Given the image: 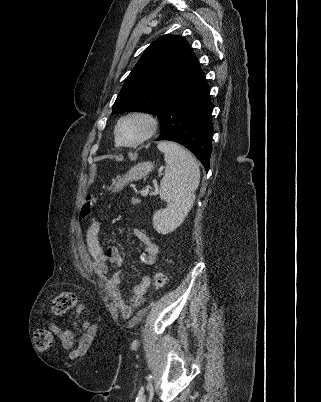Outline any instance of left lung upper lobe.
I'll list each match as a JSON object with an SVG mask.
<instances>
[{"label":"left lung upper lobe","mask_w":321,"mask_h":402,"mask_svg":"<svg viewBox=\"0 0 321 402\" xmlns=\"http://www.w3.org/2000/svg\"><path fill=\"white\" fill-rule=\"evenodd\" d=\"M198 65L185 39L165 35L144 51L121 89L112 113L144 111L160 117L168 94Z\"/></svg>","instance_id":"left-lung-upper-lobe-1"}]
</instances>
